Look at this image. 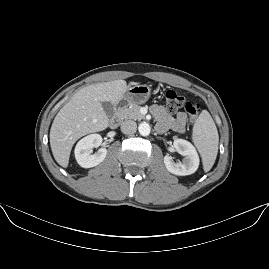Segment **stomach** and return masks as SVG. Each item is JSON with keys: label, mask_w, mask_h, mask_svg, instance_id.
Listing matches in <instances>:
<instances>
[{"label": "stomach", "mask_w": 269, "mask_h": 269, "mask_svg": "<svg viewBox=\"0 0 269 269\" xmlns=\"http://www.w3.org/2000/svg\"><path fill=\"white\" fill-rule=\"evenodd\" d=\"M151 94V88L148 85H134L128 88L123 96L122 107H126L129 104H143L145 103Z\"/></svg>", "instance_id": "stomach-1"}]
</instances>
